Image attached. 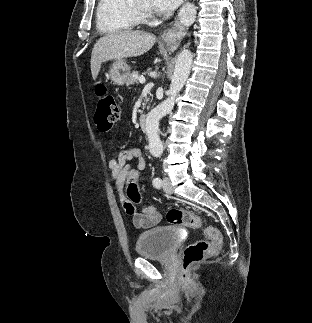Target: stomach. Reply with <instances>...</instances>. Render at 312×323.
Returning a JSON list of instances; mask_svg holds the SVG:
<instances>
[{
	"label": "stomach",
	"instance_id": "0dacf381",
	"mask_svg": "<svg viewBox=\"0 0 312 323\" xmlns=\"http://www.w3.org/2000/svg\"><path fill=\"white\" fill-rule=\"evenodd\" d=\"M130 68L127 66L124 60H118V62H114L110 68L109 76L113 82V84H117V86H123L125 82H127V78H129Z\"/></svg>",
	"mask_w": 312,
	"mask_h": 323
}]
</instances>
